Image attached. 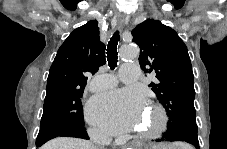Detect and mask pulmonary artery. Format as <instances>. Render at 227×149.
Instances as JSON below:
<instances>
[{"instance_id": "pulmonary-artery-1", "label": "pulmonary artery", "mask_w": 227, "mask_h": 149, "mask_svg": "<svg viewBox=\"0 0 227 149\" xmlns=\"http://www.w3.org/2000/svg\"><path fill=\"white\" fill-rule=\"evenodd\" d=\"M139 74V68L137 64H124L120 71L119 76L124 83H135ZM117 79L111 74H98L96 75L91 83L93 90H105L112 88L116 85Z\"/></svg>"}]
</instances>
